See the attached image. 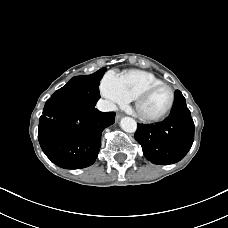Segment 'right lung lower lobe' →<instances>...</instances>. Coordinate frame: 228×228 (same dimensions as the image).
<instances>
[{
  "instance_id": "98d812e1",
  "label": "right lung lower lobe",
  "mask_w": 228,
  "mask_h": 228,
  "mask_svg": "<svg viewBox=\"0 0 228 228\" xmlns=\"http://www.w3.org/2000/svg\"><path fill=\"white\" fill-rule=\"evenodd\" d=\"M115 121L114 112L48 99L40 117L38 139L46 156L59 167L92 165L100 150L102 131Z\"/></svg>"
}]
</instances>
